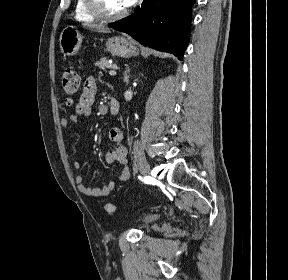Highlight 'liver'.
Here are the masks:
<instances>
[{"mask_svg":"<svg viewBox=\"0 0 288 280\" xmlns=\"http://www.w3.org/2000/svg\"><path fill=\"white\" fill-rule=\"evenodd\" d=\"M84 27H87L89 29H95L98 32L102 33H108L109 29L105 27L104 25H97V24H84Z\"/></svg>","mask_w":288,"mask_h":280,"instance_id":"1","label":"liver"}]
</instances>
